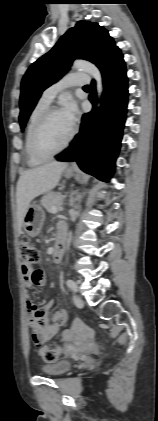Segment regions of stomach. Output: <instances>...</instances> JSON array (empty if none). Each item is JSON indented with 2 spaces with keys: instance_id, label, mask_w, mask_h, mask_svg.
<instances>
[{
  "instance_id": "obj_1",
  "label": "stomach",
  "mask_w": 158,
  "mask_h": 421,
  "mask_svg": "<svg viewBox=\"0 0 158 421\" xmlns=\"http://www.w3.org/2000/svg\"><path fill=\"white\" fill-rule=\"evenodd\" d=\"M75 175L76 172L71 168H66L64 171L66 178H71ZM44 219L45 214L40 206L36 204L29 205L23 217V228L25 232L31 237L37 236L43 227Z\"/></svg>"
}]
</instances>
